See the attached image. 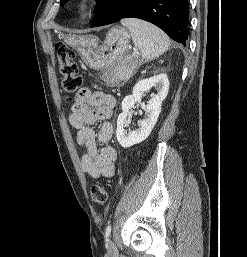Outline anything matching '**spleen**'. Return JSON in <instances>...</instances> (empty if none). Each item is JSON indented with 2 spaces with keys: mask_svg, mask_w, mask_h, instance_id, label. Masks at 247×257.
<instances>
[{
  "mask_svg": "<svg viewBox=\"0 0 247 257\" xmlns=\"http://www.w3.org/2000/svg\"><path fill=\"white\" fill-rule=\"evenodd\" d=\"M121 24L129 29L133 43L145 60L155 59L168 50L169 37L158 27L135 18L122 19Z\"/></svg>",
  "mask_w": 247,
  "mask_h": 257,
  "instance_id": "1",
  "label": "spleen"
}]
</instances>
